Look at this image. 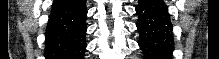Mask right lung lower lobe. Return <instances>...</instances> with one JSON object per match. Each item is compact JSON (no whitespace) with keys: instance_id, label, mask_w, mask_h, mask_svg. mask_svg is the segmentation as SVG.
I'll return each mask as SVG.
<instances>
[{"instance_id":"98d812e1","label":"right lung lower lobe","mask_w":219,"mask_h":59,"mask_svg":"<svg viewBox=\"0 0 219 59\" xmlns=\"http://www.w3.org/2000/svg\"><path fill=\"white\" fill-rule=\"evenodd\" d=\"M85 0H55L45 33L46 59H83L86 49Z\"/></svg>"}]
</instances>
